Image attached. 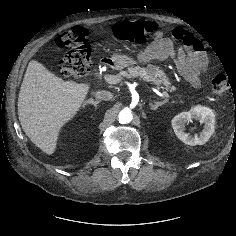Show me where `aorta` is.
<instances>
[{"label":"aorta","mask_w":236,"mask_h":236,"mask_svg":"<svg viewBox=\"0 0 236 236\" xmlns=\"http://www.w3.org/2000/svg\"><path fill=\"white\" fill-rule=\"evenodd\" d=\"M133 119L132 112L129 108H124L123 110L120 111L118 115V121L121 124H127L130 123Z\"/></svg>","instance_id":"1"}]
</instances>
